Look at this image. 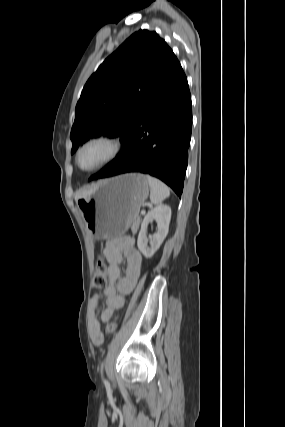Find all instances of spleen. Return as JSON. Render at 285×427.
<instances>
[{
    "instance_id": "3e777b00",
    "label": "spleen",
    "mask_w": 285,
    "mask_h": 427,
    "mask_svg": "<svg viewBox=\"0 0 285 427\" xmlns=\"http://www.w3.org/2000/svg\"><path fill=\"white\" fill-rule=\"evenodd\" d=\"M149 186L151 188L150 200L154 205H160L170 195L169 188L160 180L147 175Z\"/></svg>"
}]
</instances>
